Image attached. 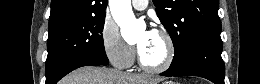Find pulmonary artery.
Here are the masks:
<instances>
[{
	"mask_svg": "<svg viewBox=\"0 0 260 84\" xmlns=\"http://www.w3.org/2000/svg\"><path fill=\"white\" fill-rule=\"evenodd\" d=\"M148 1L146 0H133L132 5L137 10H143L147 7Z\"/></svg>",
	"mask_w": 260,
	"mask_h": 84,
	"instance_id": "1",
	"label": "pulmonary artery"
}]
</instances>
